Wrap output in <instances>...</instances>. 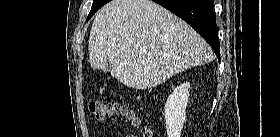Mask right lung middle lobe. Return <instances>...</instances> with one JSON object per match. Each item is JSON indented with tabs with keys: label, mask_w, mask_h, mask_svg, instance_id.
I'll return each mask as SVG.
<instances>
[{
	"label": "right lung middle lobe",
	"mask_w": 280,
	"mask_h": 137,
	"mask_svg": "<svg viewBox=\"0 0 280 137\" xmlns=\"http://www.w3.org/2000/svg\"><path fill=\"white\" fill-rule=\"evenodd\" d=\"M109 1L110 0H93L91 11L87 17V20L90 19L98 9H100L103 5H105Z\"/></svg>",
	"instance_id": "right-lung-middle-lobe-1"
}]
</instances>
